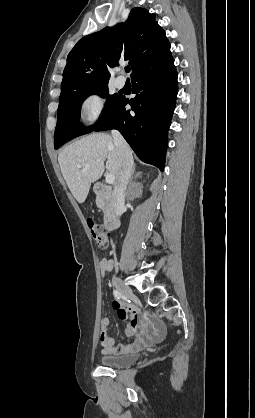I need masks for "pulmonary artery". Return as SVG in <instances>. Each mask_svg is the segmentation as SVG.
<instances>
[{
	"instance_id": "pulmonary-artery-1",
	"label": "pulmonary artery",
	"mask_w": 255,
	"mask_h": 418,
	"mask_svg": "<svg viewBox=\"0 0 255 418\" xmlns=\"http://www.w3.org/2000/svg\"><path fill=\"white\" fill-rule=\"evenodd\" d=\"M126 79L123 76H118L115 80V84L118 88L124 87Z\"/></svg>"
}]
</instances>
